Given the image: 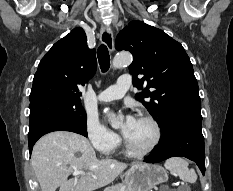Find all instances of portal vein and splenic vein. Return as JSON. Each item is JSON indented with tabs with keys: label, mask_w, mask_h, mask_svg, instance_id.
I'll use <instances>...</instances> for the list:
<instances>
[{
	"label": "portal vein and splenic vein",
	"mask_w": 233,
	"mask_h": 191,
	"mask_svg": "<svg viewBox=\"0 0 233 191\" xmlns=\"http://www.w3.org/2000/svg\"><path fill=\"white\" fill-rule=\"evenodd\" d=\"M82 174H85V172L84 171H74L73 172L74 176H78V175H82Z\"/></svg>",
	"instance_id": "portal-vein-and-splenic-vein-1"
}]
</instances>
